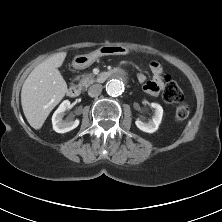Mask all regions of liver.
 Here are the masks:
<instances>
[{"label":"liver","instance_id":"obj_1","mask_svg":"<svg viewBox=\"0 0 222 222\" xmlns=\"http://www.w3.org/2000/svg\"><path fill=\"white\" fill-rule=\"evenodd\" d=\"M66 55V52L56 53L37 65L22 86V109L28 123L36 130L43 126L67 92V84L58 70Z\"/></svg>","mask_w":222,"mask_h":222}]
</instances>
